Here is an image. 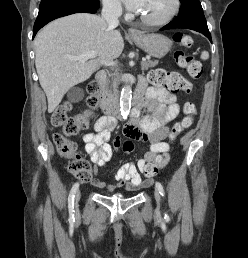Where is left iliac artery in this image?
Returning a JSON list of instances; mask_svg holds the SVG:
<instances>
[{"label": "left iliac artery", "instance_id": "obj_1", "mask_svg": "<svg viewBox=\"0 0 248 258\" xmlns=\"http://www.w3.org/2000/svg\"><path fill=\"white\" fill-rule=\"evenodd\" d=\"M156 188L158 189L159 193L164 196V189H163V186L161 185V183L159 182H156Z\"/></svg>", "mask_w": 248, "mask_h": 258}]
</instances>
